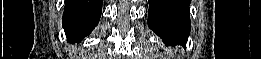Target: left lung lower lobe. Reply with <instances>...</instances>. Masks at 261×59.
I'll return each instance as SVG.
<instances>
[{
	"label": "left lung lower lobe",
	"instance_id": "1",
	"mask_svg": "<svg viewBox=\"0 0 261 59\" xmlns=\"http://www.w3.org/2000/svg\"><path fill=\"white\" fill-rule=\"evenodd\" d=\"M148 26L165 44L186 45L190 33V0H148Z\"/></svg>",
	"mask_w": 261,
	"mask_h": 59
}]
</instances>
